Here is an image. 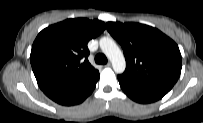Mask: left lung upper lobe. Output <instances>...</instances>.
Returning <instances> with one entry per match:
<instances>
[{"label": "left lung upper lobe", "instance_id": "1", "mask_svg": "<svg viewBox=\"0 0 203 123\" xmlns=\"http://www.w3.org/2000/svg\"><path fill=\"white\" fill-rule=\"evenodd\" d=\"M126 59L122 76L170 91L182 68L177 44L156 28L140 23L108 22Z\"/></svg>", "mask_w": 203, "mask_h": 123}]
</instances>
